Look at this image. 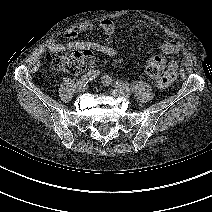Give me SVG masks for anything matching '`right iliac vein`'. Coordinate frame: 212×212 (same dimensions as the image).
<instances>
[{
    "label": "right iliac vein",
    "instance_id": "1",
    "mask_svg": "<svg viewBox=\"0 0 212 212\" xmlns=\"http://www.w3.org/2000/svg\"><path fill=\"white\" fill-rule=\"evenodd\" d=\"M77 93H78V94L84 93V89H83V88L77 89Z\"/></svg>",
    "mask_w": 212,
    "mask_h": 212
}]
</instances>
